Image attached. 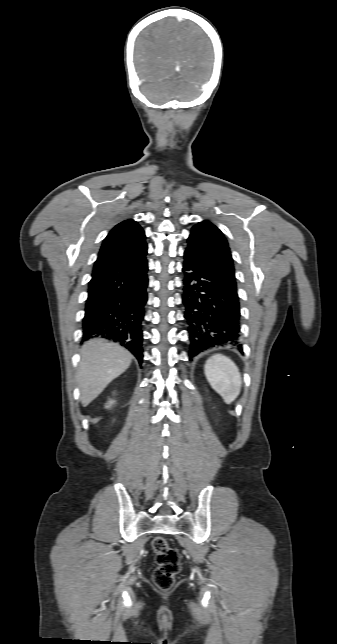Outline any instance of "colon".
I'll use <instances>...</instances> for the list:
<instances>
[{
  "instance_id": "obj_1",
  "label": "colon",
  "mask_w": 337,
  "mask_h": 644,
  "mask_svg": "<svg viewBox=\"0 0 337 644\" xmlns=\"http://www.w3.org/2000/svg\"><path fill=\"white\" fill-rule=\"evenodd\" d=\"M155 552L156 568L153 572V581L162 590H169L175 582V577L180 571V556L176 549L168 545L163 537H156L152 542Z\"/></svg>"
}]
</instances>
